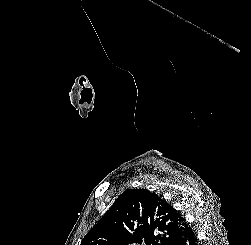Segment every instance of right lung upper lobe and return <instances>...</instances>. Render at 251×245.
<instances>
[{"label":"right lung upper lobe","instance_id":"cb5924a9","mask_svg":"<svg viewBox=\"0 0 251 245\" xmlns=\"http://www.w3.org/2000/svg\"><path fill=\"white\" fill-rule=\"evenodd\" d=\"M189 230L182 215L147 189L124 191L81 245H167Z\"/></svg>","mask_w":251,"mask_h":245}]
</instances>
